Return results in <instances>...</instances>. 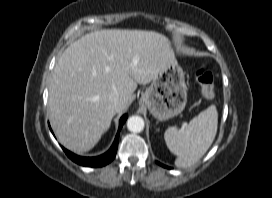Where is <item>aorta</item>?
Wrapping results in <instances>:
<instances>
[{"instance_id":"aorta-1","label":"aorta","mask_w":272,"mask_h":198,"mask_svg":"<svg viewBox=\"0 0 272 198\" xmlns=\"http://www.w3.org/2000/svg\"><path fill=\"white\" fill-rule=\"evenodd\" d=\"M127 128L129 131L139 133L144 129V120L140 116H131L127 120Z\"/></svg>"}]
</instances>
